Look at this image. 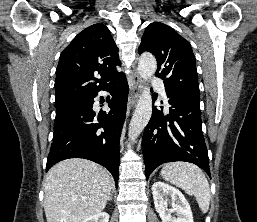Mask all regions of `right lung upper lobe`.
<instances>
[{
    "instance_id": "obj_1",
    "label": "right lung upper lobe",
    "mask_w": 257,
    "mask_h": 222,
    "mask_svg": "<svg viewBox=\"0 0 257 222\" xmlns=\"http://www.w3.org/2000/svg\"><path fill=\"white\" fill-rule=\"evenodd\" d=\"M116 46L110 30L103 24H93L80 32L60 55L56 69L55 103L89 99L105 89L108 81L119 74ZM95 74L103 78L99 85L92 82Z\"/></svg>"
}]
</instances>
